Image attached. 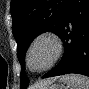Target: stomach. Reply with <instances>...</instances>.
I'll list each match as a JSON object with an SVG mask.
<instances>
[{
    "label": "stomach",
    "instance_id": "1",
    "mask_svg": "<svg viewBox=\"0 0 89 89\" xmlns=\"http://www.w3.org/2000/svg\"><path fill=\"white\" fill-rule=\"evenodd\" d=\"M48 89H66V87L64 86V84H54L50 86Z\"/></svg>",
    "mask_w": 89,
    "mask_h": 89
}]
</instances>
